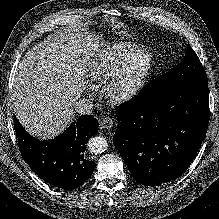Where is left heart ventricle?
Here are the masks:
<instances>
[{
  "label": "left heart ventricle",
  "mask_w": 219,
  "mask_h": 219,
  "mask_svg": "<svg viewBox=\"0 0 219 219\" xmlns=\"http://www.w3.org/2000/svg\"><path fill=\"white\" fill-rule=\"evenodd\" d=\"M146 64L145 58H140L137 62H135L132 66L128 68L124 75V83L125 85L130 84L136 76L140 73V71L143 69V67Z\"/></svg>",
  "instance_id": "left-heart-ventricle-1"
}]
</instances>
